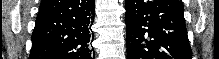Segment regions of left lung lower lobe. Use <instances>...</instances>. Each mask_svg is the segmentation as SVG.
Returning <instances> with one entry per match:
<instances>
[{
	"label": "left lung lower lobe",
	"mask_w": 219,
	"mask_h": 59,
	"mask_svg": "<svg viewBox=\"0 0 219 59\" xmlns=\"http://www.w3.org/2000/svg\"><path fill=\"white\" fill-rule=\"evenodd\" d=\"M128 59H191L180 0H125Z\"/></svg>",
	"instance_id": "1"
}]
</instances>
